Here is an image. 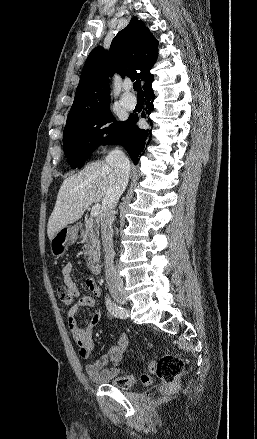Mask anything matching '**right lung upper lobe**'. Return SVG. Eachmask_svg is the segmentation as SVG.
<instances>
[{"label": "right lung upper lobe", "instance_id": "right-lung-upper-lobe-1", "mask_svg": "<svg viewBox=\"0 0 257 439\" xmlns=\"http://www.w3.org/2000/svg\"><path fill=\"white\" fill-rule=\"evenodd\" d=\"M157 46L144 22L133 18L114 37L108 54L102 46L94 48L83 67L67 122L110 106L109 77L114 73L122 78H141L144 88L153 78L150 69L157 58Z\"/></svg>", "mask_w": 257, "mask_h": 439}]
</instances>
